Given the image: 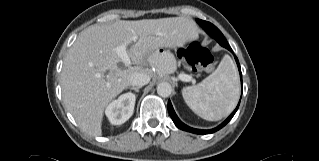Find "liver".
<instances>
[{"label": "liver", "mask_w": 319, "mask_h": 161, "mask_svg": "<svg viewBox=\"0 0 319 161\" xmlns=\"http://www.w3.org/2000/svg\"><path fill=\"white\" fill-rule=\"evenodd\" d=\"M197 38L198 27L187 17L119 20L89 26L78 35L64 59V105L84 132L100 136L104 109L129 86L131 74L147 72L148 64L156 67L150 53L163 47H181ZM122 44L131 45L128 55L135 66L118 67L121 60L115 49Z\"/></svg>", "instance_id": "obj_1"}]
</instances>
